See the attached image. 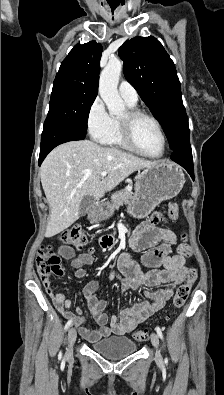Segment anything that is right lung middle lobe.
Instances as JSON below:
<instances>
[{
	"instance_id": "dd1d6c3e",
	"label": "right lung middle lobe",
	"mask_w": 224,
	"mask_h": 395,
	"mask_svg": "<svg viewBox=\"0 0 224 395\" xmlns=\"http://www.w3.org/2000/svg\"><path fill=\"white\" fill-rule=\"evenodd\" d=\"M96 96L97 91L54 81L46 120L65 122L86 134L89 111Z\"/></svg>"
}]
</instances>
